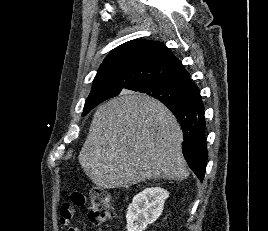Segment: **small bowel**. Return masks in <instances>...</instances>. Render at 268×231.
I'll return each mask as SVG.
<instances>
[{
	"mask_svg": "<svg viewBox=\"0 0 268 231\" xmlns=\"http://www.w3.org/2000/svg\"><path fill=\"white\" fill-rule=\"evenodd\" d=\"M76 205H81L80 198L75 201ZM75 211L74 207L70 203H63L60 207L59 223L68 228V231H81V229L73 224L72 219L74 218Z\"/></svg>",
	"mask_w": 268,
	"mask_h": 231,
	"instance_id": "small-bowel-1",
	"label": "small bowel"
}]
</instances>
